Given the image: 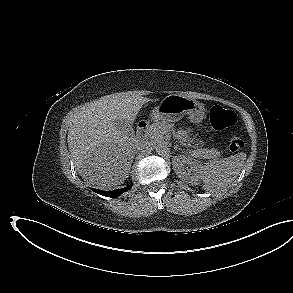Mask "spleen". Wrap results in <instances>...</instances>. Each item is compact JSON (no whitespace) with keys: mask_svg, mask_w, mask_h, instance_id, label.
I'll return each mask as SVG.
<instances>
[{"mask_svg":"<svg viewBox=\"0 0 293 293\" xmlns=\"http://www.w3.org/2000/svg\"><path fill=\"white\" fill-rule=\"evenodd\" d=\"M246 153H237L234 156L213 160L202 166L198 176L203 182V189L216 192L227 188L240 173Z\"/></svg>","mask_w":293,"mask_h":293,"instance_id":"obj_1","label":"spleen"}]
</instances>
